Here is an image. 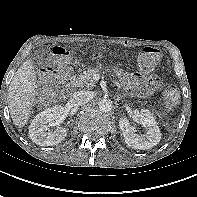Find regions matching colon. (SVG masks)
<instances>
[{
	"mask_svg": "<svg viewBox=\"0 0 197 197\" xmlns=\"http://www.w3.org/2000/svg\"><path fill=\"white\" fill-rule=\"evenodd\" d=\"M53 67L44 73L42 83L44 86V93L48 95L54 84L64 80L70 70V55L67 50L61 47L53 49ZM160 51L152 46L144 47L138 57L137 62L141 70L150 71L160 61ZM164 104L167 109H173L177 106L179 101V93L172 85H167L163 92Z\"/></svg>",
	"mask_w": 197,
	"mask_h": 197,
	"instance_id": "colon-1",
	"label": "colon"
}]
</instances>
